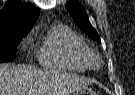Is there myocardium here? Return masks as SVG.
Wrapping results in <instances>:
<instances>
[{
	"instance_id": "obj_1",
	"label": "myocardium",
	"mask_w": 135,
	"mask_h": 95,
	"mask_svg": "<svg viewBox=\"0 0 135 95\" xmlns=\"http://www.w3.org/2000/svg\"><path fill=\"white\" fill-rule=\"evenodd\" d=\"M89 63L92 68H97L101 65L102 61L99 56L91 52L89 56Z\"/></svg>"
}]
</instances>
